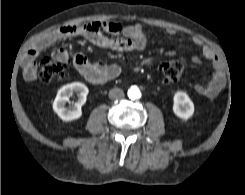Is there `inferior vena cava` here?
I'll use <instances>...</instances> for the list:
<instances>
[{
    "mask_svg": "<svg viewBox=\"0 0 245 195\" xmlns=\"http://www.w3.org/2000/svg\"><path fill=\"white\" fill-rule=\"evenodd\" d=\"M124 97V92L122 89L114 88L109 91V98L112 100L121 99Z\"/></svg>",
    "mask_w": 245,
    "mask_h": 195,
    "instance_id": "inferior-vena-cava-1",
    "label": "inferior vena cava"
}]
</instances>
